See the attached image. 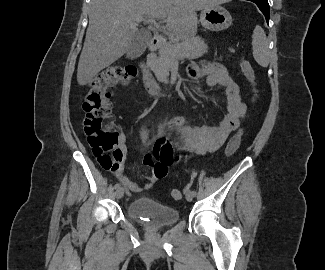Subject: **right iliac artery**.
I'll return each mask as SVG.
<instances>
[{
    "label": "right iliac artery",
    "mask_w": 325,
    "mask_h": 270,
    "mask_svg": "<svg viewBox=\"0 0 325 270\" xmlns=\"http://www.w3.org/2000/svg\"><path fill=\"white\" fill-rule=\"evenodd\" d=\"M114 188H115V189L120 188V184H119V183H116V184L114 185Z\"/></svg>",
    "instance_id": "right-iliac-artery-1"
}]
</instances>
